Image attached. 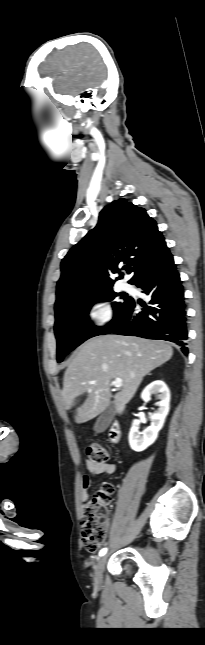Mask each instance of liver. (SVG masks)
<instances>
[{"mask_svg":"<svg viewBox=\"0 0 205 645\" xmlns=\"http://www.w3.org/2000/svg\"><path fill=\"white\" fill-rule=\"evenodd\" d=\"M172 355V347L162 341L117 335L91 338L80 346L64 374V407L71 409L77 397L87 393L76 409L75 422L95 418L110 404L111 380L120 378L122 389L114 395V405L116 413L122 414L143 378Z\"/></svg>","mask_w":205,"mask_h":645,"instance_id":"obj_1","label":"liver"}]
</instances>
